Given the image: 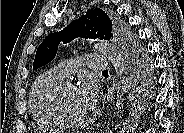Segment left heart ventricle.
Wrapping results in <instances>:
<instances>
[{"label": "left heart ventricle", "mask_w": 184, "mask_h": 133, "mask_svg": "<svg viewBox=\"0 0 184 133\" xmlns=\"http://www.w3.org/2000/svg\"><path fill=\"white\" fill-rule=\"evenodd\" d=\"M62 107L65 114L73 118L81 117L87 112V109L78 97L75 87H69L64 91L62 95Z\"/></svg>", "instance_id": "1"}]
</instances>
